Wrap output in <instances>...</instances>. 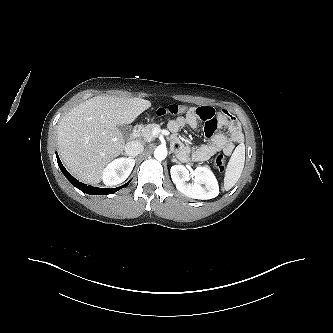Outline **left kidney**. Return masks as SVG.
Masks as SVG:
<instances>
[{
    "mask_svg": "<svg viewBox=\"0 0 333 333\" xmlns=\"http://www.w3.org/2000/svg\"><path fill=\"white\" fill-rule=\"evenodd\" d=\"M171 178L178 191L194 199H212L219 194L216 176L208 167H197L191 173L183 165L171 167ZM192 178L193 182L188 183Z\"/></svg>",
    "mask_w": 333,
    "mask_h": 333,
    "instance_id": "left-kidney-1",
    "label": "left kidney"
}]
</instances>
